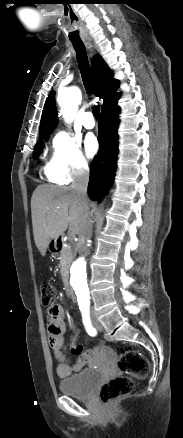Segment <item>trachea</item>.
<instances>
[{
  "instance_id": "3493384b",
  "label": "trachea",
  "mask_w": 183,
  "mask_h": 438,
  "mask_svg": "<svg viewBox=\"0 0 183 438\" xmlns=\"http://www.w3.org/2000/svg\"><path fill=\"white\" fill-rule=\"evenodd\" d=\"M72 44H73V47H74V49L76 51V58H77L79 70L81 72L85 88H86L87 92L90 93V89H91V74H90V66H89V62H88L85 46H84V44L82 42H80V43L72 42ZM92 113H93L94 117L97 120H99V117H100V106L99 105H96V106L94 105L92 107Z\"/></svg>"
}]
</instances>
